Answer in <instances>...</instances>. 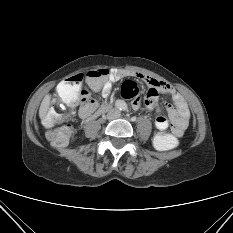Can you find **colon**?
Returning a JSON list of instances; mask_svg holds the SVG:
<instances>
[{"instance_id":"colon-1","label":"colon","mask_w":233,"mask_h":233,"mask_svg":"<svg viewBox=\"0 0 233 233\" xmlns=\"http://www.w3.org/2000/svg\"><path fill=\"white\" fill-rule=\"evenodd\" d=\"M108 75L109 71L106 69H96L88 72L85 78L88 88L81 92L80 89L84 80L82 74L74 75L60 84L57 94L52 96L49 110L43 120L45 127L48 128L47 138L52 145L64 147L72 133L71 125L62 123V105H72L77 100L79 92L85 103L94 104L92 91L99 90L107 80ZM135 88V82L125 81L121 92L124 96L129 97ZM154 145L159 150H170L177 147L178 140L173 135L158 133L154 138Z\"/></svg>"}]
</instances>
